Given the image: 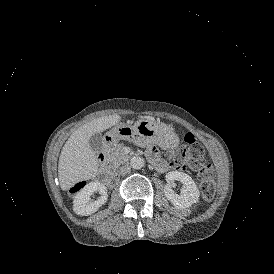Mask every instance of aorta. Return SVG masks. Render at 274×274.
Segmentation results:
<instances>
[{
  "mask_svg": "<svg viewBox=\"0 0 274 274\" xmlns=\"http://www.w3.org/2000/svg\"><path fill=\"white\" fill-rule=\"evenodd\" d=\"M145 165V162H144V159L141 158V157H133L131 158L130 160V166L133 168V169H141L143 168Z\"/></svg>",
  "mask_w": 274,
  "mask_h": 274,
  "instance_id": "aorta-1",
  "label": "aorta"
}]
</instances>
